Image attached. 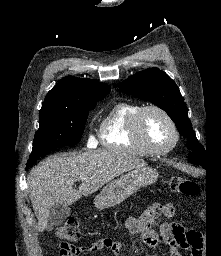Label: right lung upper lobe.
<instances>
[{
    "label": "right lung upper lobe",
    "instance_id": "right-lung-upper-lobe-1",
    "mask_svg": "<svg viewBox=\"0 0 221 256\" xmlns=\"http://www.w3.org/2000/svg\"><path fill=\"white\" fill-rule=\"evenodd\" d=\"M110 86L77 77H64L47 93L40 112L75 109L81 100L107 95Z\"/></svg>",
    "mask_w": 221,
    "mask_h": 256
}]
</instances>
